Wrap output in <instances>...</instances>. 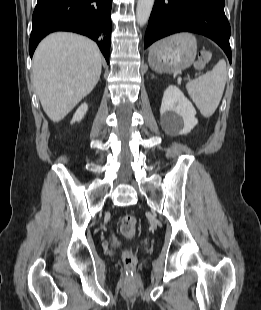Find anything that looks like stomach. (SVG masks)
Segmentation results:
<instances>
[{
    "label": "stomach",
    "instance_id": "0dacf381",
    "mask_svg": "<svg viewBox=\"0 0 261 310\" xmlns=\"http://www.w3.org/2000/svg\"><path fill=\"white\" fill-rule=\"evenodd\" d=\"M197 54V42L193 35L183 33L170 36L154 44L148 61L157 73H174L190 67Z\"/></svg>",
    "mask_w": 261,
    "mask_h": 310
}]
</instances>
